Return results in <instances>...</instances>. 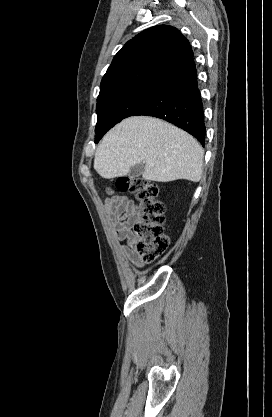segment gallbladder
<instances>
[{"label":"gallbladder","mask_w":272,"mask_h":417,"mask_svg":"<svg viewBox=\"0 0 272 417\" xmlns=\"http://www.w3.org/2000/svg\"><path fill=\"white\" fill-rule=\"evenodd\" d=\"M144 172V164L139 163L131 167L130 171L128 172V176L130 178H136L142 175Z\"/></svg>","instance_id":"bac80fb5"}]
</instances>
